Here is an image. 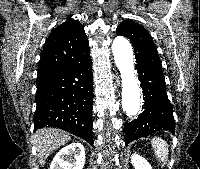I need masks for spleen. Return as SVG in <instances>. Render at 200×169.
<instances>
[{"mask_svg":"<svg viewBox=\"0 0 200 169\" xmlns=\"http://www.w3.org/2000/svg\"><path fill=\"white\" fill-rule=\"evenodd\" d=\"M151 145L154 149L155 155L157 156L158 160L164 165L169 154L167 142L161 138H153L151 140Z\"/></svg>","mask_w":200,"mask_h":169,"instance_id":"obj_1","label":"spleen"}]
</instances>
